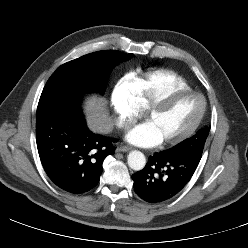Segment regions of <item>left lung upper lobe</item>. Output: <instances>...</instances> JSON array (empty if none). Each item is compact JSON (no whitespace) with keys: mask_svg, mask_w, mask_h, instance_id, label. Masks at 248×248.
<instances>
[{"mask_svg":"<svg viewBox=\"0 0 248 248\" xmlns=\"http://www.w3.org/2000/svg\"><path fill=\"white\" fill-rule=\"evenodd\" d=\"M208 134L209 128L201 129L192 138L187 139L170 151L174 153L196 152L202 154Z\"/></svg>","mask_w":248,"mask_h":248,"instance_id":"1","label":"left lung upper lobe"}]
</instances>
